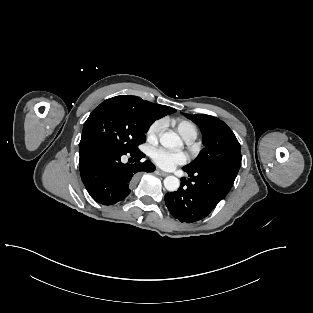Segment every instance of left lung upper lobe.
<instances>
[{"instance_id":"5c2ea615","label":"left lung upper lobe","mask_w":313,"mask_h":313,"mask_svg":"<svg viewBox=\"0 0 313 313\" xmlns=\"http://www.w3.org/2000/svg\"><path fill=\"white\" fill-rule=\"evenodd\" d=\"M195 122L203 134L205 148L190 164L189 171L221 169L238 173L241 167L240 144L232 130L220 119L204 114H185Z\"/></svg>"}]
</instances>
